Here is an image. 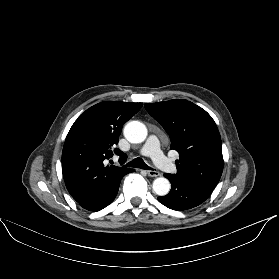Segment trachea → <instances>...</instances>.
<instances>
[{"label":"trachea","instance_id":"3493384b","mask_svg":"<svg viewBox=\"0 0 279 279\" xmlns=\"http://www.w3.org/2000/svg\"><path fill=\"white\" fill-rule=\"evenodd\" d=\"M124 167H134L146 170H154L153 168L149 167L141 158H136L124 165Z\"/></svg>","mask_w":279,"mask_h":279}]
</instances>
